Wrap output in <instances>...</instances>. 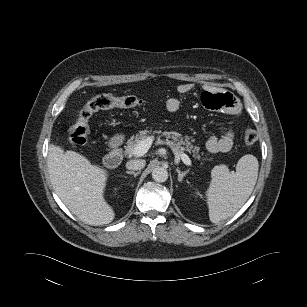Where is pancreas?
Wrapping results in <instances>:
<instances>
[{
  "mask_svg": "<svg viewBox=\"0 0 307 307\" xmlns=\"http://www.w3.org/2000/svg\"><path fill=\"white\" fill-rule=\"evenodd\" d=\"M150 132L151 131L144 130V131H140L135 136H132L127 141V145L125 146V155L132 156L134 152V148L140 141L145 140L147 137L153 138V136L148 135ZM155 132L161 133V131H155ZM162 136H164L167 142H170L171 147L176 149L178 152L183 153L184 151H187L189 153H193V157L195 159H198V160L201 159V156L199 154L200 148L198 146H194L189 141L190 137L185 136V138H183L182 135L176 131H170V132L164 131L162 132ZM209 160H211V158Z\"/></svg>",
  "mask_w": 307,
  "mask_h": 307,
  "instance_id": "1",
  "label": "pancreas"
}]
</instances>
